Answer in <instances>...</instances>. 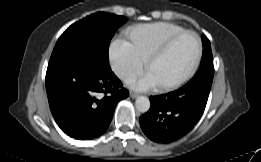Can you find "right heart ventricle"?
<instances>
[{"instance_id": "1", "label": "right heart ventricle", "mask_w": 261, "mask_h": 162, "mask_svg": "<svg viewBox=\"0 0 261 162\" xmlns=\"http://www.w3.org/2000/svg\"><path fill=\"white\" fill-rule=\"evenodd\" d=\"M183 30V27L169 22L141 24L130 28L128 37L137 53L147 59L165 40Z\"/></svg>"}]
</instances>
